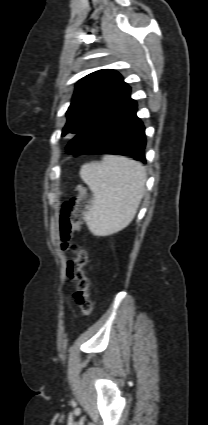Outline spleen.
Returning <instances> with one entry per match:
<instances>
[{
  "instance_id": "obj_1",
  "label": "spleen",
  "mask_w": 208,
  "mask_h": 425,
  "mask_svg": "<svg viewBox=\"0 0 208 425\" xmlns=\"http://www.w3.org/2000/svg\"><path fill=\"white\" fill-rule=\"evenodd\" d=\"M80 177L93 194L84 214L89 230L107 236L126 228L134 219L145 192V167L132 159L105 155L81 166Z\"/></svg>"
}]
</instances>
